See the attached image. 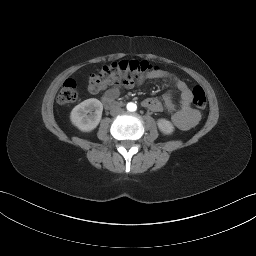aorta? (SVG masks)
<instances>
[{
	"label": "aorta",
	"mask_w": 256,
	"mask_h": 256,
	"mask_svg": "<svg viewBox=\"0 0 256 256\" xmlns=\"http://www.w3.org/2000/svg\"><path fill=\"white\" fill-rule=\"evenodd\" d=\"M136 109H137L136 104H134V103H128V104H127V110H128V111L133 112V111H135Z\"/></svg>",
	"instance_id": "1"
}]
</instances>
